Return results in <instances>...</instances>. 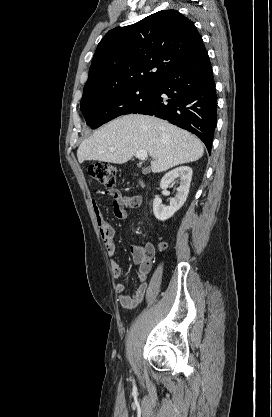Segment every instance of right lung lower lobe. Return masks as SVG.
Segmentation results:
<instances>
[{
  "label": "right lung lower lobe",
  "mask_w": 272,
  "mask_h": 417,
  "mask_svg": "<svg viewBox=\"0 0 272 417\" xmlns=\"http://www.w3.org/2000/svg\"><path fill=\"white\" fill-rule=\"evenodd\" d=\"M154 83L153 97L133 113L154 115L194 133L210 152L217 123V95L205 47Z\"/></svg>",
  "instance_id": "right-lung-lower-lobe-1"
}]
</instances>
